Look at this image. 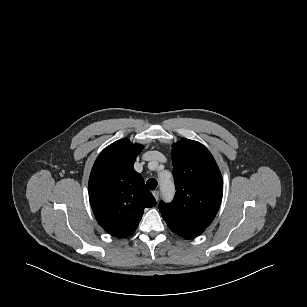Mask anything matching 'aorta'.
<instances>
[{"instance_id": "aorta-1", "label": "aorta", "mask_w": 307, "mask_h": 307, "mask_svg": "<svg viewBox=\"0 0 307 307\" xmlns=\"http://www.w3.org/2000/svg\"><path fill=\"white\" fill-rule=\"evenodd\" d=\"M160 187L164 197L171 200L175 192L173 181L170 178L160 177Z\"/></svg>"}]
</instances>
